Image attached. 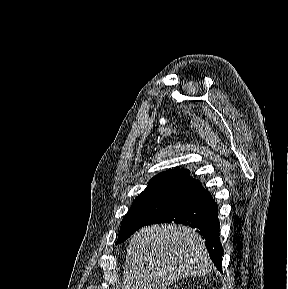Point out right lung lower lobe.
<instances>
[{
	"label": "right lung lower lobe",
	"mask_w": 288,
	"mask_h": 289,
	"mask_svg": "<svg viewBox=\"0 0 288 289\" xmlns=\"http://www.w3.org/2000/svg\"><path fill=\"white\" fill-rule=\"evenodd\" d=\"M171 222L196 228L205 239L210 258L221 271L223 248L219 238L217 203L200 182L170 209L146 225Z\"/></svg>",
	"instance_id": "obj_1"
}]
</instances>
